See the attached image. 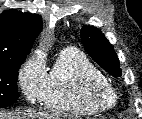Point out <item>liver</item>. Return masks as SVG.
<instances>
[{
    "label": "liver",
    "mask_w": 142,
    "mask_h": 119,
    "mask_svg": "<svg viewBox=\"0 0 142 119\" xmlns=\"http://www.w3.org/2000/svg\"><path fill=\"white\" fill-rule=\"evenodd\" d=\"M0 119H70V117L54 111L29 109L14 114L1 111Z\"/></svg>",
    "instance_id": "obj_1"
}]
</instances>
